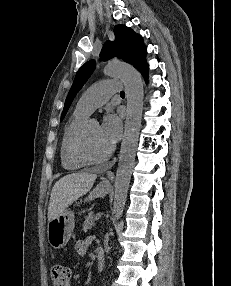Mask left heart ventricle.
Here are the masks:
<instances>
[{"instance_id":"1","label":"left heart ventricle","mask_w":231,"mask_h":286,"mask_svg":"<svg viewBox=\"0 0 231 286\" xmlns=\"http://www.w3.org/2000/svg\"><path fill=\"white\" fill-rule=\"evenodd\" d=\"M86 151L93 158L104 156L111 145L106 141L100 131V125L96 121H91L85 141Z\"/></svg>"}]
</instances>
